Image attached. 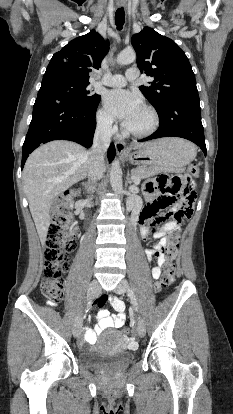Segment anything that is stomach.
I'll return each instance as SVG.
<instances>
[{
  "label": "stomach",
  "mask_w": 233,
  "mask_h": 414,
  "mask_svg": "<svg viewBox=\"0 0 233 414\" xmlns=\"http://www.w3.org/2000/svg\"><path fill=\"white\" fill-rule=\"evenodd\" d=\"M196 156V148L189 141L179 138H163L146 143L125 158L132 164L143 165L157 172H177Z\"/></svg>",
  "instance_id": "1"
}]
</instances>
